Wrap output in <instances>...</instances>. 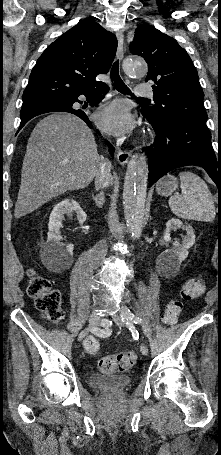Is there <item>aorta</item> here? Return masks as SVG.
I'll list each match as a JSON object with an SVG mask.
<instances>
[{"label": "aorta", "instance_id": "obj_1", "mask_svg": "<svg viewBox=\"0 0 221 455\" xmlns=\"http://www.w3.org/2000/svg\"><path fill=\"white\" fill-rule=\"evenodd\" d=\"M123 70L129 76H144L147 66L142 60L129 57L123 62ZM148 173L144 155L133 156L129 160L123 187L124 216L128 231L135 238H138L142 231Z\"/></svg>", "mask_w": 221, "mask_h": 455}]
</instances>
